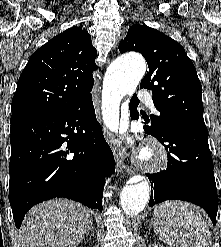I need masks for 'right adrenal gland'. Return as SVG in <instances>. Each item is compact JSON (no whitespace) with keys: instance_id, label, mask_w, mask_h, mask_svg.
Instances as JSON below:
<instances>
[{"instance_id":"right-adrenal-gland-1","label":"right adrenal gland","mask_w":221,"mask_h":247,"mask_svg":"<svg viewBox=\"0 0 221 247\" xmlns=\"http://www.w3.org/2000/svg\"><path fill=\"white\" fill-rule=\"evenodd\" d=\"M89 232H94V227L92 226V223L87 231V235L89 234Z\"/></svg>"}]
</instances>
